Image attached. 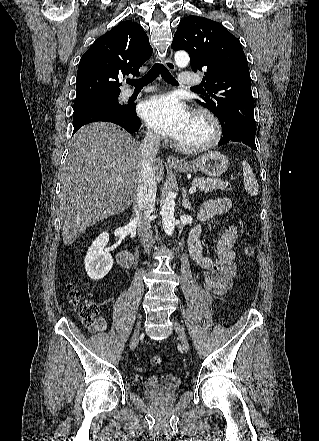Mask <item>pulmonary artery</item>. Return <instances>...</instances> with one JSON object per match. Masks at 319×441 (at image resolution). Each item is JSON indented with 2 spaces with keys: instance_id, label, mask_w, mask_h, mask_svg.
Segmentation results:
<instances>
[{
  "instance_id": "e3ab8cb5",
  "label": "pulmonary artery",
  "mask_w": 319,
  "mask_h": 441,
  "mask_svg": "<svg viewBox=\"0 0 319 441\" xmlns=\"http://www.w3.org/2000/svg\"><path fill=\"white\" fill-rule=\"evenodd\" d=\"M178 84L183 87H191L198 85L201 82V77L196 73L183 72L179 76ZM144 92L149 91V89H144ZM132 92L127 93L130 96Z\"/></svg>"
}]
</instances>
